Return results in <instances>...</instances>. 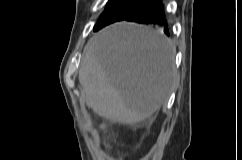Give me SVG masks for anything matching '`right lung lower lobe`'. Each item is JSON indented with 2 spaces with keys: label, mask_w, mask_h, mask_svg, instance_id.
I'll list each match as a JSON object with an SVG mask.
<instances>
[{
  "label": "right lung lower lobe",
  "mask_w": 242,
  "mask_h": 160,
  "mask_svg": "<svg viewBox=\"0 0 242 160\" xmlns=\"http://www.w3.org/2000/svg\"><path fill=\"white\" fill-rule=\"evenodd\" d=\"M122 20L133 21L146 25L157 24L164 26V32L169 35V30L164 19L161 0H148Z\"/></svg>",
  "instance_id": "right-lung-lower-lobe-1"
}]
</instances>
